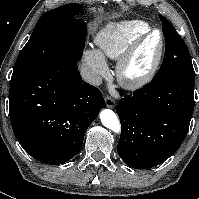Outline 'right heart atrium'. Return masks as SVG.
Wrapping results in <instances>:
<instances>
[{
    "label": "right heart atrium",
    "instance_id": "1",
    "mask_svg": "<svg viewBox=\"0 0 199 199\" xmlns=\"http://www.w3.org/2000/svg\"><path fill=\"white\" fill-rule=\"evenodd\" d=\"M84 62L90 72L91 81L97 83L100 76L107 74V64L103 56L94 49L84 52Z\"/></svg>",
    "mask_w": 199,
    "mask_h": 199
}]
</instances>
